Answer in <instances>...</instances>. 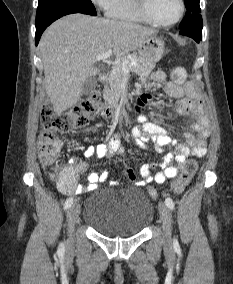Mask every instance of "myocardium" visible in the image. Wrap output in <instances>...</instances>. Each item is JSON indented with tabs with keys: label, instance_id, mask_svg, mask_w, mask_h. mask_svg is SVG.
<instances>
[{
	"label": "myocardium",
	"instance_id": "f54148a6",
	"mask_svg": "<svg viewBox=\"0 0 233 284\" xmlns=\"http://www.w3.org/2000/svg\"><path fill=\"white\" fill-rule=\"evenodd\" d=\"M138 1V7L141 11V13L143 14V16L150 21L151 23H153L156 26L159 27H170L173 26L175 24H177L182 17L184 16L185 13V3L184 0H178L179 5H180V11L178 16L176 17V19H174L171 22H161L159 20H157L154 15L152 14L150 7H149V0H137Z\"/></svg>",
	"mask_w": 233,
	"mask_h": 284
}]
</instances>
